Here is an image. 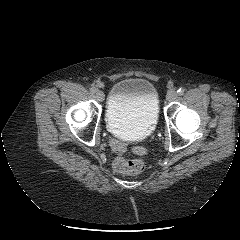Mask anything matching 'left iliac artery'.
<instances>
[{
    "label": "left iliac artery",
    "mask_w": 240,
    "mask_h": 240,
    "mask_svg": "<svg viewBox=\"0 0 240 240\" xmlns=\"http://www.w3.org/2000/svg\"><path fill=\"white\" fill-rule=\"evenodd\" d=\"M177 93H178V95H183L184 94V89L183 88H179L177 90Z\"/></svg>",
    "instance_id": "44dca946"
}]
</instances>
